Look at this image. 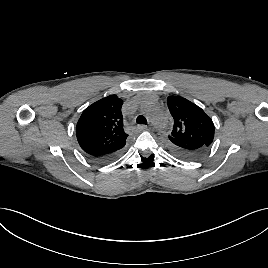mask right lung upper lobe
Segmentation results:
<instances>
[{"mask_svg":"<svg viewBox=\"0 0 268 268\" xmlns=\"http://www.w3.org/2000/svg\"><path fill=\"white\" fill-rule=\"evenodd\" d=\"M123 101L110 95L87 107L76 126L80 147L88 155L103 156L120 151L128 134L123 129Z\"/></svg>","mask_w":268,"mask_h":268,"instance_id":"obj_1","label":"right lung upper lobe"}]
</instances>
